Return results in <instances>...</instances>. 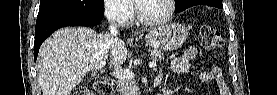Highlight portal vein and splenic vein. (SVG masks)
I'll use <instances>...</instances> for the list:
<instances>
[{
    "mask_svg": "<svg viewBox=\"0 0 277 95\" xmlns=\"http://www.w3.org/2000/svg\"><path fill=\"white\" fill-rule=\"evenodd\" d=\"M106 65V61L103 60L101 61L99 64H97L95 66L96 70H100L102 69L104 66ZM149 67L150 68H155L156 67V63L155 62H150L149 63ZM112 75L116 78V79H132L134 77V73L131 70H117L115 72L112 73Z\"/></svg>",
    "mask_w": 277,
    "mask_h": 95,
    "instance_id": "obj_1",
    "label": "portal vein and splenic vein"
}]
</instances>
